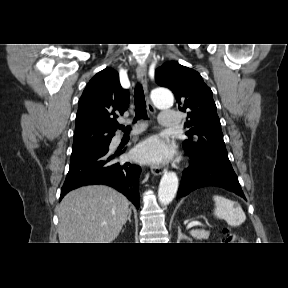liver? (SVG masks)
<instances>
[{
    "label": "liver",
    "instance_id": "1",
    "mask_svg": "<svg viewBox=\"0 0 288 288\" xmlns=\"http://www.w3.org/2000/svg\"><path fill=\"white\" fill-rule=\"evenodd\" d=\"M128 199L101 185L69 192L59 205L60 243H111L129 214Z\"/></svg>",
    "mask_w": 288,
    "mask_h": 288
}]
</instances>
